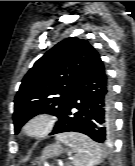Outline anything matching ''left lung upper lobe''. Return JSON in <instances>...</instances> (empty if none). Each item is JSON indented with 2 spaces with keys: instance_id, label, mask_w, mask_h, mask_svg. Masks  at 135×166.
Masks as SVG:
<instances>
[{
  "instance_id": "obj_1",
  "label": "left lung upper lobe",
  "mask_w": 135,
  "mask_h": 166,
  "mask_svg": "<svg viewBox=\"0 0 135 166\" xmlns=\"http://www.w3.org/2000/svg\"><path fill=\"white\" fill-rule=\"evenodd\" d=\"M97 54L87 40L71 37L47 51L22 80L14 103L18 133L30 118L48 113L59 117L70 103L72 92L92 57Z\"/></svg>"
}]
</instances>
